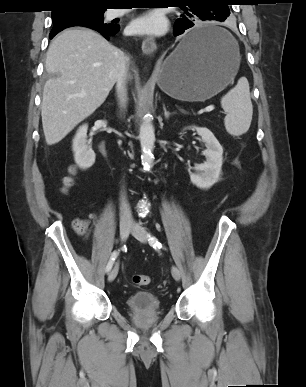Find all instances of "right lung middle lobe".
<instances>
[{"mask_svg": "<svg viewBox=\"0 0 306 387\" xmlns=\"http://www.w3.org/2000/svg\"><path fill=\"white\" fill-rule=\"evenodd\" d=\"M105 8L93 6H74L62 8L56 12H52L53 29L50 33H58L67 27L84 26H113L112 24L104 23Z\"/></svg>", "mask_w": 306, "mask_h": 387, "instance_id": "obj_1", "label": "right lung middle lobe"}]
</instances>
